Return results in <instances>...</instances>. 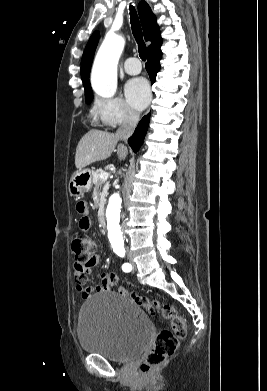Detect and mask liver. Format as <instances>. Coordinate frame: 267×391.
<instances>
[{
	"instance_id": "obj_1",
	"label": "liver",
	"mask_w": 267,
	"mask_h": 391,
	"mask_svg": "<svg viewBox=\"0 0 267 391\" xmlns=\"http://www.w3.org/2000/svg\"><path fill=\"white\" fill-rule=\"evenodd\" d=\"M119 139L115 134L100 131L90 130L79 141L76 154L75 166L82 170L86 166L106 160L115 150ZM117 155L119 160H124L127 155V149L123 145H118Z\"/></svg>"
}]
</instances>
